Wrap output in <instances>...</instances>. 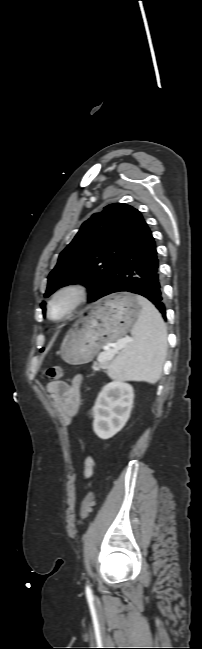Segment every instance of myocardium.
Listing matches in <instances>:
<instances>
[{
  "label": "myocardium",
  "mask_w": 202,
  "mask_h": 649,
  "mask_svg": "<svg viewBox=\"0 0 202 649\" xmlns=\"http://www.w3.org/2000/svg\"><path fill=\"white\" fill-rule=\"evenodd\" d=\"M87 287L79 282H72L59 287L49 298L47 302V314L52 321H64L70 318L87 300ZM68 300L66 311L59 317L52 313L53 304L59 299Z\"/></svg>",
  "instance_id": "f54148a6"
}]
</instances>
